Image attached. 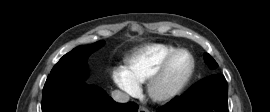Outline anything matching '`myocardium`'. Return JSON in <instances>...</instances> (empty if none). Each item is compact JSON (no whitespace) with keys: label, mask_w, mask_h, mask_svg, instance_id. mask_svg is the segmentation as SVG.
Here are the masks:
<instances>
[{"label":"myocardium","mask_w":270,"mask_h":112,"mask_svg":"<svg viewBox=\"0 0 270 112\" xmlns=\"http://www.w3.org/2000/svg\"><path fill=\"white\" fill-rule=\"evenodd\" d=\"M186 53L191 60L190 68L184 78L171 90L166 92H158V86L173 58L179 53ZM196 69V60L194 55L186 48H176L170 52L159 64L157 69L151 75L147 81V93L150 99L156 103L164 104L168 103L183 93L186 87L192 80Z\"/></svg>","instance_id":"myocardium-1"}]
</instances>
